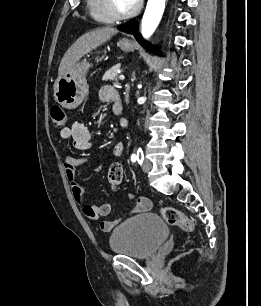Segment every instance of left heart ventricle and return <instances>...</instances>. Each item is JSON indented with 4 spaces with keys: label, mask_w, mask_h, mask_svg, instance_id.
<instances>
[{
    "label": "left heart ventricle",
    "mask_w": 261,
    "mask_h": 306,
    "mask_svg": "<svg viewBox=\"0 0 261 306\" xmlns=\"http://www.w3.org/2000/svg\"><path fill=\"white\" fill-rule=\"evenodd\" d=\"M138 0H114L115 7L119 12H127L131 10Z\"/></svg>",
    "instance_id": "1"
}]
</instances>
